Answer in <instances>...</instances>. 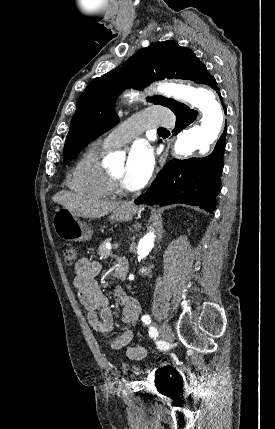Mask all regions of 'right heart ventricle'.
Returning a JSON list of instances; mask_svg holds the SVG:
<instances>
[{
    "mask_svg": "<svg viewBox=\"0 0 275 429\" xmlns=\"http://www.w3.org/2000/svg\"><path fill=\"white\" fill-rule=\"evenodd\" d=\"M102 143L91 145L75 164L68 177L71 190L95 199H103L111 194L107 170L101 163V153L106 150Z\"/></svg>",
    "mask_w": 275,
    "mask_h": 429,
    "instance_id": "obj_1",
    "label": "right heart ventricle"
}]
</instances>
